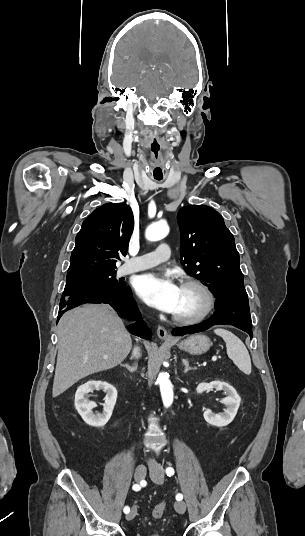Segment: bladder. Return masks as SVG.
Returning <instances> with one entry per match:
<instances>
[{
    "instance_id": "31cf9c89",
    "label": "bladder",
    "mask_w": 305,
    "mask_h": 536,
    "mask_svg": "<svg viewBox=\"0 0 305 536\" xmlns=\"http://www.w3.org/2000/svg\"><path fill=\"white\" fill-rule=\"evenodd\" d=\"M147 536V535H144ZM148 536H164L163 534H154V535H148Z\"/></svg>"
}]
</instances>
